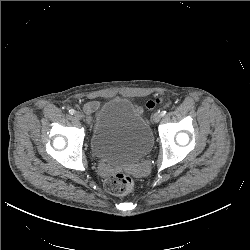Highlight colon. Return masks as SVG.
Returning <instances> with one entry per match:
<instances>
[{
    "label": "colon",
    "instance_id": "colon-1",
    "mask_svg": "<svg viewBox=\"0 0 250 250\" xmlns=\"http://www.w3.org/2000/svg\"><path fill=\"white\" fill-rule=\"evenodd\" d=\"M157 102L149 101L147 103L148 108H154ZM135 185V180L132 175L128 173H116L111 175L105 180V189L114 195H126L130 193Z\"/></svg>",
    "mask_w": 250,
    "mask_h": 250
}]
</instances>
